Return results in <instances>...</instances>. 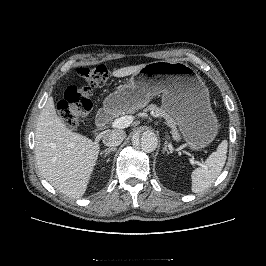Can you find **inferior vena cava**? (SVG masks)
<instances>
[{
  "mask_svg": "<svg viewBox=\"0 0 266 266\" xmlns=\"http://www.w3.org/2000/svg\"><path fill=\"white\" fill-rule=\"evenodd\" d=\"M125 136L126 134L123 130H109L103 135V143L106 146L116 147L122 143Z\"/></svg>",
  "mask_w": 266,
  "mask_h": 266,
  "instance_id": "1",
  "label": "inferior vena cava"
}]
</instances>
